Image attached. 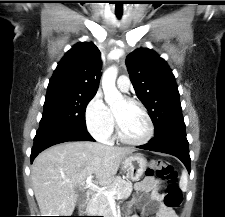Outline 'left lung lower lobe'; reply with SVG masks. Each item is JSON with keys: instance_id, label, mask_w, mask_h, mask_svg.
Wrapping results in <instances>:
<instances>
[{"instance_id": "left-lung-lower-lobe-1", "label": "left lung lower lobe", "mask_w": 225, "mask_h": 217, "mask_svg": "<svg viewBox=\"0 0 225 217\" xmlns=\"http://www.w3.org/2000/svg\"><path fill=\"white\" fill-rule=\"evenodd\" d=\"M186 139L185 124L175 125L154 135L147 144L138 148L167 153L179 158L190 173L191 159Z\"/></svg>"}]
</instances>
